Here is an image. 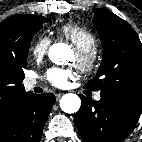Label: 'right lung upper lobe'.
Here are the masks:
<instances>
[{
	"mask_svg": "<svg viewBox=\"0 0 142 142\" xmlns=\"http://www.w3.org/2000/svg\"><path fill=\"white\" fill-rule=\"evenodd\" d=\"M34 15H13L0 23V67L14 64L19 41ZM26 94L23 84H0V129L9 121L18 102Z\"/></svg>",
	"mask_w": 142,
	"mask_h": 142,
	"instance_id": "cb5924a9",
	"label": "right lung upper lobe"
}]
</instances>
